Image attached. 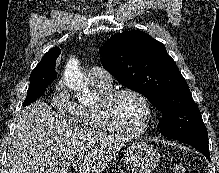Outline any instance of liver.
I'll use <instances>...</instances> for the list:
<instances>
[{"label": "liver", "instance_id": "1", "mask_svg": "<svg viewBox=\"0 0 219 173\" xmlns=\"http://www.w3.org/2000/svg\"><path fill=\"white\" fill-rule=\"evenodd\" d=\"M118 136L95 133L62 120L46 103L37 101L17 115L7 161L9 173H101L123 146Z\"/></svg>", "mask_w": 219, "mask_h": 173}]
</instances>
